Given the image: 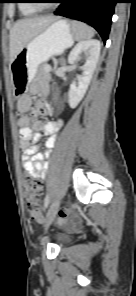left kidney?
<instances>
[{
    "instance_id": "left-kidney-1",
    "label": "left kidney",
    "mask_w": 136,
    "mask_h": 296,
    "mask_svg": "<svg viewBox=\"0 0 136 296\" xmlns=\"http://www.w3.org/2000/svg\"><path fill=\"white\" fill-rule=\"evenodd\" d=\"M100 50V41L97 39H88L78 42L68 56V63L73 64L78 60L82 52L86 54L85 64L81 67L83 74L78 77L77 82H73L70 85L68 92L69 106L73 109L77 107L88 89L99 59Z\"/></svg>"
}]
</instances>
